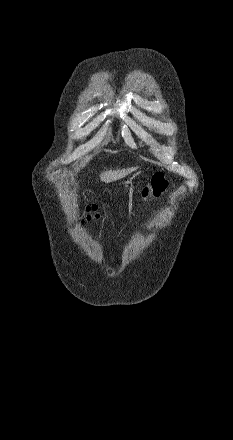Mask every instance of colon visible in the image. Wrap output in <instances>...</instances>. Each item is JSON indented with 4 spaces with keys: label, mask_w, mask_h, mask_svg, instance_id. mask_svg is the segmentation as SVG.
<instances>
[{
    "label": "colon",
    "mask_w": 233,
    "mask_h": 440,
    "mask_svg": "<svg viewBox=\"0 0 233 440\" xmlns=\"http://www.w3.org/2000/svg\"><path fill=\"white\" fill-rule=\"evenodd\" d=\"M169 186V180L162 172H157L153 175L151 179V185L145 188L142 192L143 199L145 201L150 200L151 198H157L162 195V193ZM97 205H91L86 208L88 213V218L92 216H97Z\"/></svg>",
    "instance_id": "5ec220e1"
}]
</instances>
